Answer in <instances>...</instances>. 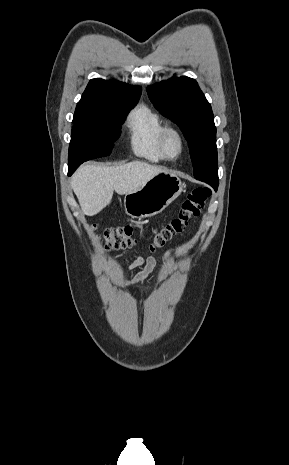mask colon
<instances>
[{"instance_id":"5ec220e1","label":"colon","mask_w":289,"mask_h":465,"mask_svg":"<svg viewBox=\"0 0 289 465\" xmlns=\"http://www.w3.org/2000/svg\"><path fill=\"white\" fill-rule=\"evenodd\" d=\"M212 190L198 187L191 190L182 200L178 214L154 230L149 244L150 250L162 247L174 235L182 233L189 223L199 216ZM96 231V227L94 228ZM96 238L107 250L129 249L136 245L135 231L131 226H120L96 231Z\"/></svg>"}]
</instances>
